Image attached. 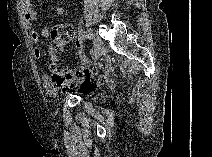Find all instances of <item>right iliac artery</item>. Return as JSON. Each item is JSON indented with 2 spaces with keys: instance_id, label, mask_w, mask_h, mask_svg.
<instances>
[{
  "instance_id": "82829eb1",
  "label": "right iliac artery",
  "mask_w": 212,
  "mask_h": 157,
  "mask_svg": "<svg viewBox=\"0 0 212 157\" xmlns=\"http://www.w3.org/2000/svg\"><path fill=\"white\" fill-rule=\"evenodd\" d=\"M86 38L89 39V40L92 39V36H91V34L89 32L84 31V32H81L79 34V39H86Z\"/></svg>"
}]
</instances>
